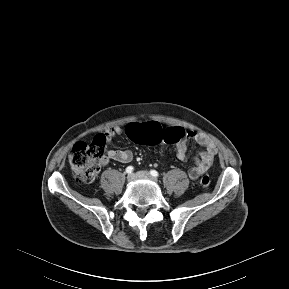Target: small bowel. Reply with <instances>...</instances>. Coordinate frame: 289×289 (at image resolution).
<instances>
[{"instance_id": "c3829d8e", "label": "small bowel", "mask_w": 289, "mask_h": 289, "mask_svg": "<svg viewBox=\"0 0 289 289\" xmlns=\"http://www.w3.org/2000/svg\"><path fill=\"white\" fill-rule=\"evenodd\" d=\"M121 132L122 128L120 126H115L106 129L102 136L104 137L105 142L109 143L116 135L121 134ZM188 139H193L198 145L203 147V150L199 153L195 161V165L188 171L189 177L195 180L209 170L217 154V147L206 135L189 131L186 133V137L178 142L176 146V156L181 161H185L187 159ZM132 159L133 153L130 150L110 149L106 152L102 164H106L109 160L120 163H129L132 161Z\"/></svg>"}]
</instances>
